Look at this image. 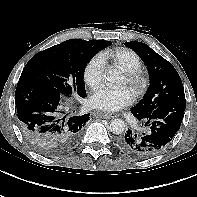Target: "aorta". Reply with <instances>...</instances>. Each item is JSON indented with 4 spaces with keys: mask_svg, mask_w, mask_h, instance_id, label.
<instances>
[{
    "mask_svg": "<svg viewBox=\"0 0 197 197\" xmlns=\"http://www.w3.org/2000/svg\"><path fill=\"white\" fill-rule=\"evenodd\" d=\"M106 81L112 84H120L123 82V78L117 70H108L104 75ZM125 130V123L121 119H114L110 123V131L114 134H122Z\"/></svg>",
    "mask_w": 197,
    "mask_h": 197,
    "instance_id": "aorta-1",
    "label": "aorta"
}]
</instances>
